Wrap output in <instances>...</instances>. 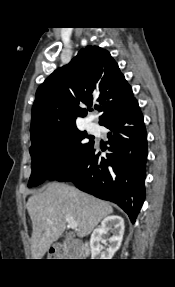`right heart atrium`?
<instances>
[{
  "mask_svg": "<svg viewBox=\"0 0 175 287\" xmlns=\"http://www.w3.org/2000/svg\"><path fill=\"white\" fill-rule=\"evenodd\" d=\"M68 153V150L65 146H60L57 150V154L59 157L64 158Z\"/></svg>",
  "mask_w": 175,
  "mask_h": 287,
  "instance_id": "obj_1",
  "label": "right heart atrium"
}]
</instances>
